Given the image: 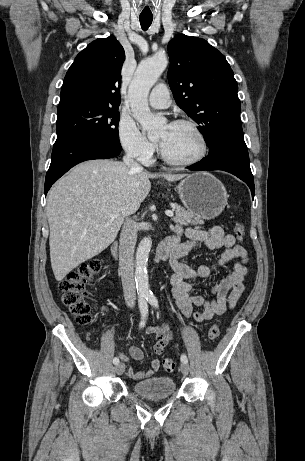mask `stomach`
Returning <instances> with one entry per match:
<instances>
[{
  "mask_svg": "<svg viewBox=\"0 0 305 461\" xmlns=\"http://www.w3.org/2000/svg\"><path fill=\"white\" fill-rule=\"evenodd\" d=\"M188 211L203 219H213L227 205V191L222 182L208 172H196L184 178L176 187Z\"/></svg>",
  "mask_w": 305,
  "mask_h": 461,
  "instance_id": "stomach-1",
  "label": "stomach"
}]
</instances>
